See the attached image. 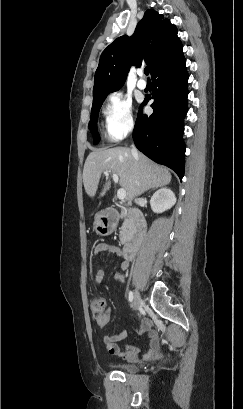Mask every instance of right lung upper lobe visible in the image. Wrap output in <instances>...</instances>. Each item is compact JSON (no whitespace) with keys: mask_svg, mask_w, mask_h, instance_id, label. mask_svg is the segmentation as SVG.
<instances>
[{"mask_svg":"<svg viewBox=\"0 0 243 409\" xmlns=\"http://www.w3.org/2000/svg\"><path fill=\"white\" fill-rule=\"evenodd\" d=\"M181 46L176 26L162 14L148 9L131 37H118L101 54L94 77L93 101L119 90L131 65L139 67L145 62L153 75Z\"/></svg>","mask_w":243,"mask_h":409,"instance_id":"1","label":"right lung upper lobe"}]
</instances>
